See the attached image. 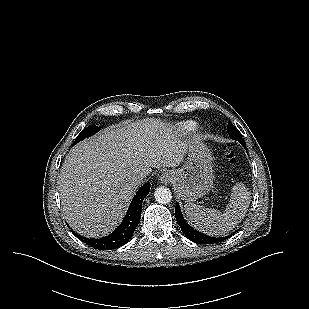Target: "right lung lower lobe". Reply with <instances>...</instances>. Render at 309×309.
Instances as JSON below:
<instances>
[{"label": "right lung lower lobe", "instance_id": "obj_1", "mask_svg": "<svg viewBox=\"0 0 309 309\" xmlns=\"http://www.w3.org/2000/svg\"><path fill=\"white\" fill-rule=\"evenodd\" d=\"M150 186V183H146L139 189L129 206L125 218L110 235L100 239H89L78 235L74 231H72V233L82 242L99 250H111L126 244L139 224L142 212V201L150 192Z\"/></svg>", "mask_w": 309, "mask_h": 309}]
</instances>
